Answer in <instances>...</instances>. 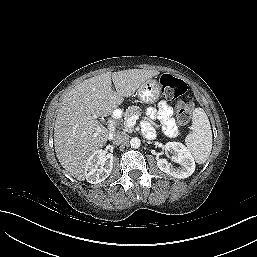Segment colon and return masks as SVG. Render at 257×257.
I'll list each match as a JSON object with an SVG mask.
<instances>
[{"instance_id": "obj_1", "label": "colon", "mask_w": 257, "mask_h": 257, "mask_svg": "<svg viewBox=\"0 0 257 257\" xmlns=\"http://www.w3.org/2000/svg\"><path fill=\"white\" fill-rule=\"evenodd\" d=\"M159 83L165 98L175 100L177 120L184 125L190 121L193 105L184 94L187 91L186 83L170 74L160 76Z\"/></svg>"}]
</instances>
